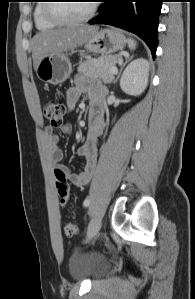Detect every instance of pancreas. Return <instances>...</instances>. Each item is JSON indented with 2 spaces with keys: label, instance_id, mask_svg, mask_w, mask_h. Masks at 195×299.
<instances>
[{
  "label": "pancreas",
  "instance_id": "obj_1",
  "mask_svg": "<svg viewBox=\"0 0 195 299\" xmlns=\"http://www.w3.org/2000/svg\"><path fill=\"white\" fill-rule=\"evenodd\" d=\"M117 63V56L107 55L99 58H90L83 61L78 72L87 77L101 79L104 83L109 84L114 79V74L110 71Z\"/></svg>",
  "mask_w": 195,
  "mask_h": 299
}]
</instances>
